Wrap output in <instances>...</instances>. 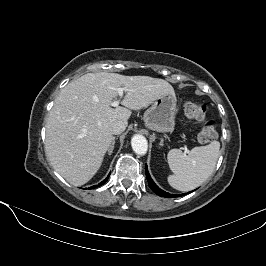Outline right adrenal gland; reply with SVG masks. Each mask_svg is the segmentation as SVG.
<instances>
[{"mask_svg": "<svg viewBox=\"0 0 266 266\" xmlns=\"http://www.w3.org/2000/svg\"><path fill=\"white\" fill-rule=\"evenodd\" d=\"M114 145H115V137H113L112 144H111V146H110V148L108 150L109 155H111V153L113 152Z\"/></svg>", "mask_w": 266, "mask_h": 266, "instance_id": "1", "label": "right adrenal gland"}]
</instances>
